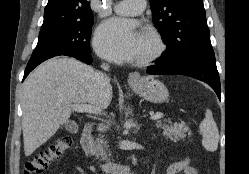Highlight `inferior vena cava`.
Wrapping results in <instances>:
<instances>
[{
  "instance_id": "1",
  "label": "inferior vena cava",
  "mask_w": 249,
  "mask_h": 174,
  "mask_svg": "<svg viewBox=\"0 0 249 174\" xmlns=\"http://www.w3.org/2000/svg\"><path fill=\"white\" fill-rule=\"evenodd\" d=\"M105 71H108L109 70V66L107 64H103L101 66ZM96 78H97V82L98 84L103 87V88H106L109 84H110V79L109 77L105 74V73H102V72H97L96 73Z\"/></svg>"
}]
</instances>
